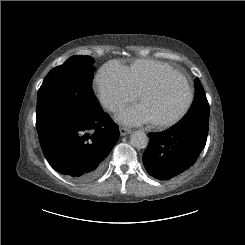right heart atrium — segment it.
<instances>
[{"mask_svg":"<svg viewBox=\"0 0 245 245\" xmlns=\"http://www.w3.org/2000/svg\"><path fill=\"white\" fill-rule=\"evenodd\" d=\"M94 88L101 103L118 113L138 98L125 66L116 61L104 64L94 79Z\"/></svg>","mask_w":245,"mask_h":245,"instance_id":"obj_1","label":"right heart atrium"}]
</instances>
